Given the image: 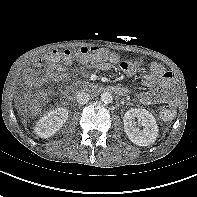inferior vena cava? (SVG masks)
<instances>
[{"instance_id": "obj_1", "label": "inferior vena cava", "mask_w": 197, "mask_h": 197, "mask_svg": "<svg viewBox=\"0 0 197 197\" xmlns=\"http://www.w3.org/2000/svg\"><path fill=\"white\" fill-rule=\"evenodd\" d=\"M76 99L78 104H86L90 99V95L86 92H79L76 95Z\"/></svg>"}]
</instances>
